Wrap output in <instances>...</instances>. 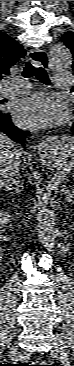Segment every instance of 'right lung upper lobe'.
<instances>
[{
	"mask_svg": "<svg viewBox=\"0 0 74 366\" xmlns=\"http://www.w3.org/2000/svg\"><path fill=\"white\" fill-rule=\"evenodd\" d=\"M25 54L20 44L5 32H0V80L10 74V68Z\"/></svg>",
	"mask_w": 74,
	"mask_h": 366,
	"instance_id": "right-lung-upper-lobe-1",
	"label": "right lung upper lobe"
}]
</instances>
